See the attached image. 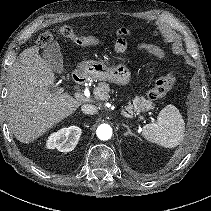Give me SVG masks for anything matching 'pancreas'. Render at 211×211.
<instances>
[{
  "label": "pancreas",
  "instance_id": "obj_1",
  "mask_svg": "<svg viewBox=\"0 0 211 211\" xmlns=\"http://www.w3.org/2000/svg\"><path fill=\"white\" fill-rule=\"evenodd\" d=\"M110 93H113V91L110 90L109 85L105 82L99 83L94 90L96 98L100 100H108L110 98ZM153 108L154 106L151 101L146 100L143 96H136L132 99V103L130 101L128 102L126 110L130 114H139L140 112H145Z\"/></svg>",
  "mask_w": 211,
  "mask_h": 211
}]
</instances>
